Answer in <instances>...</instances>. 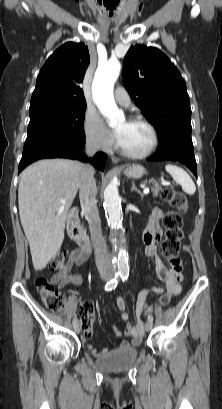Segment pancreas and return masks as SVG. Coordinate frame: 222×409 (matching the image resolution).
Segmentation results:
<instances>
[{"label": "pancreas", "mask_w": 222, "mask_h": 409, "mask_svg": "<svg viewBox=\"0 0 222 409\" xmlns=\"http://www.w3.org/2000/svg\"><path fill=\"white\" fill-rule=\"evenodd\" d=\"M145 183H147V182H145ZM149 183H152L154 185V187L152 189L153 196H155V197L158 196V194H159V192L161 190V187L159 186V184L153 179L150 180Z\"/></svg>", "instance_id": "pancreas-1"}]
</instances>
